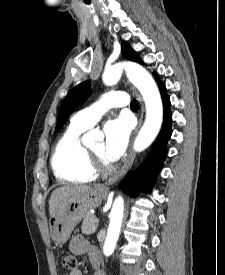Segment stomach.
<instances>
[{"mask_svg":"<svg viewBox=\"0 0 225 275\" xmlns=\"http://www.w3.org/2000/svg\"><path fill=\"white\" fill-rule=\"evenodd\" d=\"M106 191L97 187L86 193L64 198L51 213L49 226L52 240L56 244H64L76 225L89 214V210L97 208Z\"/></svg>","mask_w":225,"mask_h":275,"instance_id":"1","label":"stomach"}]
</instances>
